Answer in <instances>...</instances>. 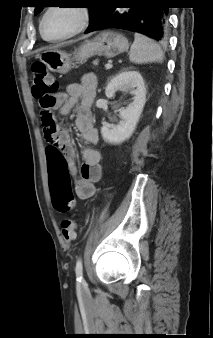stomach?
Returning a JSON list of instances; mask_svg holds the SVG:
<instances>
[{"mask_svg": "<svg viewBox=\"0 0 213 338\" xmlns=\"http://www.w3.org/2000/svg\"><path fill=\"white\" fill-rule=\"evenodd\" d=\"M128 48L129 42L124 35L114 31H102L92 39L85 40L73 58L58 49L47 50L39 58L50 71L66 74L73 67V61L82 63L94 55L113 58Z\"/></svg>", "mask_w": 213, "mask_h": 338, "instance_id": "0dacf381", "label": "stomach"}]
</instances>
